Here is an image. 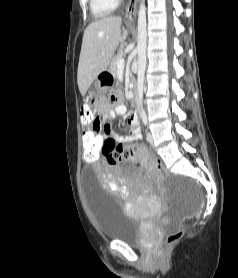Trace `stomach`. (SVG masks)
<instances>
[{
	"label": "stomach",
	"mask_w": 238,
	"mask_h": 278,
	"mask_svg": "<svg viewBox=\"0 0 238 278\" xmlns=\"http://www.w3.org/2000/svg\"><path fill=\"white\" fill-rule=\"evenodd\" d=\"M115 75L111 74V69H100V74L94 75V84H91V89L88 95L91 99H105L109 86H113Z\"/></svg>",
	"instance_id": "obj_1"
}]
</instances>
